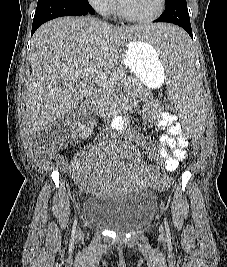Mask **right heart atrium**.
Returning <instances> with one entry per match:
<instances>
[{"mask_svg": "<svg viewBox=\"0 0 227 267\" xmlns=\"http://www.w3.org/2000/svg\"><path fill=\"white\" fill-rule=\"evenodd\" d=\"M88 3L103 15H109L115 9V0H88Z\"/></svg>", "mask_w": 227, "mask_h": 267, "instance_id": "d8ad5b80", "label": "right heart atrium"}]
</instances>
